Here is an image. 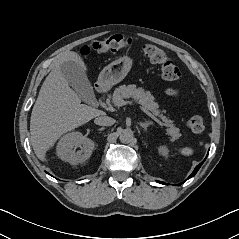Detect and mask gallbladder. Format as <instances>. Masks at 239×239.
I'll use <instances>...</instances> for the list:
<instances>
[{"label":"gallbladder","mask_w":239,"mask_h":239,"mask_svg":"<svg viewBox=\"0 0 239 239\" xmlns=\"http://www.w3.org/2000/svg\"><path fill=\"white\" fill-rule=\"evenodd\" d=\"M61 73L66 78L70 86L79 94V96L89 101L94 97L93 88L87 78L84 70L75 62H65L61 66Z\"/></svg>","instance_id":"gallbladder-1"}]
</instances>
